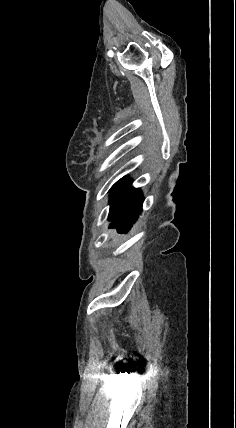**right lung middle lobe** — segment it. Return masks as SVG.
Here are the masks:
<instances>
[{
	"mask_svg": "<svg viewBox=\"0 0 236 428\" xmlns=\"http://www.w3.org/2000/svg\"><path fill=\"white\" fill-rule=\"evenodd\" d=\"M120 182H121V180H119L118 182H116V183L113 185L112 189H113L115 186H117Z\"/></svg>",
	"mask_w": 236,
	"mask_h": 428,
	"instance_id": "right-lung-middle-lobe-1",
	"label": "right lung middle lobe"
}]
</instances>
